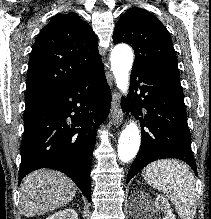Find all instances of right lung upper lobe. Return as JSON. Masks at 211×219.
I'll return each instance as SVG.
<instances>
[{
  "label": "right lung upper lobe",
  "mask_w": 211,
  "mask_h": 219,
  "mask_svg": "<svg viewBox=\"0 0 211 219\" xmlns=\"http://www.w3.org/2000/svg\"><path fill=\"white\" fill-rule=\"evenodd\" d=\"M102 66L90 25L76 13L57 14L35 40L25 104L45 99Z\"/></svg>",
  "instance_id": "1"
}]
</instances>
